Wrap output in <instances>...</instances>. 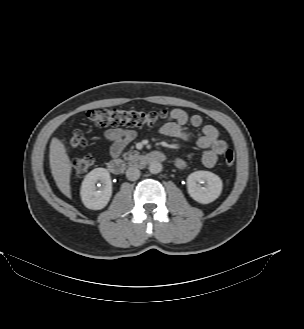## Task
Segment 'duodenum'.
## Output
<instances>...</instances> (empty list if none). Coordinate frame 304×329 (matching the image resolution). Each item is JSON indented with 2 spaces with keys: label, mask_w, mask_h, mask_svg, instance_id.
Returning <instances> with one entry per match:
<instances>
[{
  "label": "duodenum",
  "mask_w": 304,
  "mask_h": 329,
  "mask_svg": "<svg viewBox=\"0 0 304 329\" xmlns=\"http://www.w3.org/2000/svg\"><path fill=\"white\" fill-rule=\"evenodd\" d=\"M165 159V155L160 151L133 152L128 154L126 159H112L108 164V168L111 173L119 175L124 172L129 164L142 167L146 164L162 162Z\"/></svg>",
  "instance_id": "410a0bca"
}]
</instances>
